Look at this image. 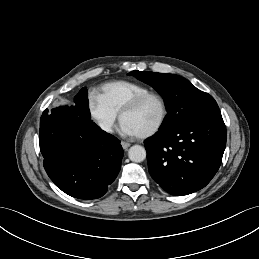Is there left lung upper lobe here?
<instances>
[{"label": "left lung upper lobe", "mask_w": 259, "mask_h": 259, "mask_svg": "<svg viewBox=\"0 0 259 259\" xmlns=\"http://www.w3.org/2000/svg\"><path fill=\"white\" fill-rule=\"evenodd\" d=\"M128 75L151 85L164 98L168 114L161 131H170L221 116L214 98L181 76L137 70Z\"/></svg>", "instance_id": "left-lung-upper-lobe-1"}]
</instances>
